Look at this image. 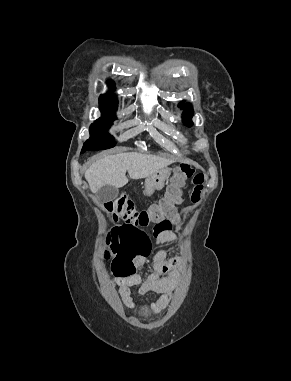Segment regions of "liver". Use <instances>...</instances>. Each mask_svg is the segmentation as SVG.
<instances>
[{"instance_id": "6515ba94", "label": "liver", "mask_w": 291, "mask_h": 381, "mask_svg": "<svg viewBox=\"0 0 291 381\" xmlns=\"http://www.w3.org/2000/svg\"><path fill=\"white\" fill-rule=\"evenodd\" d=\"M173 161L160 156L137 152L118 153L105 156L93 163L85 172V179L93 193L106 185L116 188L128 183L126 171L131 179L147 178L166 168Z\"/></svg>"}]
</instances>
